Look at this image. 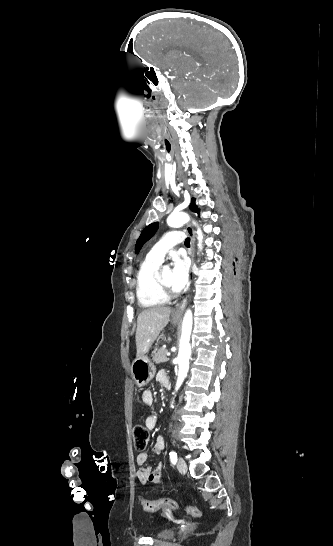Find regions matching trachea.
Segmentation results:
<instances>
[{"label": "trachea", "mask_w": 333, "mask_h": 546, "mask_svg": "<svg viewBox=\"0 0 333 546\" xmlns=\"http://www.w3.org/2000/svg\"><path fill=\"white\" fill-rule=\"evenodd\" d=\"M185 245H186V246H190V238H186V240H185Z\"/></svg>", "instance_id": "trachea-1"}]
</instances>
